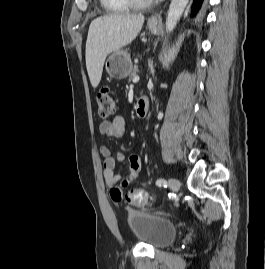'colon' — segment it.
Returning <instances> with one entry per match:
<instances>
[{
  "label": "colon",
  "mask_w": 265,
  "mask_h": 269,
  "mask_svg": "<svg viewBox=\"0 0 265 269\" xmlns=\"http://www.w3.org/2000/svg\"><path fill=\"white\" fill-rule=\"evenodd\" d=\"M98 114L102 119H108L116 112V103L113 99L111 90L105 86L100 89L97 95ZM110 194L113 198L122 199L135 206H147L151 202V194L142 189H133L125 195L122 189L118 186H113L110 189Z\"/></svg>",
  "instance_id": "5ec220e1"
}]
</instances>
